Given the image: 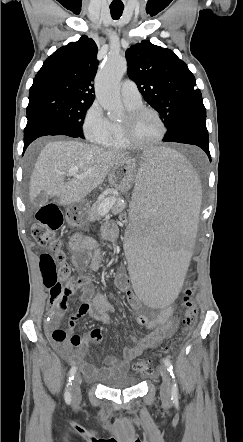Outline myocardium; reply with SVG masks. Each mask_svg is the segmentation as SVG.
<instances>
[{
    "instance_id": "f54148a6",
    "label": "myocardium",
    "mask_w": 243,
    "mask_h": 442,
    "mask_svg": "<svg viewBox=\"0 0 243 442\" xmlns=\"http://www.w3.org/2000/svg\"><path fill=\"white\" fill-rule=\"evenodd\" d=\"M150 112L157 118L161 131L159 136L149 142H137L132 138V128L134 122L144 113ZM167 133V127L165 121L158 110L150 106L140 105L134 109L128 111L124 119L121 121V135L127 146L133 148H149L159 144Z\"/></svg>"
}]
</instances>
